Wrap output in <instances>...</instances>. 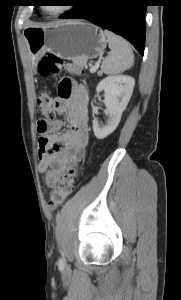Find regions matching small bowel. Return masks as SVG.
Returning a JSON list of instances; mask_svg holds the SVG:
<instances>
[{
  "instance_id": "obj_1",
  "label": "small bowel",
  "mask_w": 181,
  "mask_h": 300,
  "mask_svg": "<svg viewBox=\"0 0 181 300\" xmlns=\"http://www.w3.org/2000/svg\"><path fill=\"white\" fill-rule=\"evenodd\" d=\"M53 104L57 114L66 116L69 129L61 132L64 122L55 118L48 122L46 134L39 138L38 168L51 188L62 174L80 163L89 141L86 89L71 78H62Z\"/></svg>"
}]
</instances>
